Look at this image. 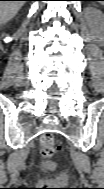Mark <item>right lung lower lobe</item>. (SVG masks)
<instances>
[{"instance_id": "98d812e1", "label": "right lung lower lobe", "mask_w": 104, "mask_h": 189, "mask_svg": "<svg viewBox=\"0 0 104 189\" xmlns=\"http://www.w3.org/2000/svg\"><path fill=\"white\" fill-rule=\"evenodd\" d=\"M18 1H31V0H18Z\"/></svg>"}]
</instances>
